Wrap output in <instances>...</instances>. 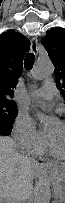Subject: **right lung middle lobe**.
Returning <instances> with one entry per match:
<instances>
[{
  "label": "right lung middle lobe",
  "mask_w": 65,
  "mask_h": 203,
  "mask_svg": "<svg viewBox=\"0 0 65 203\" xmlns=\"http://www.w3.org/2000/svg\"><path fill=\"white\" fill-rule=\"evenodd\" d=\"M17 114L18 111L14 102L0 101V129L10 134Z\"/></svg>",
  "instance_id": "1"
}]
</instances>
